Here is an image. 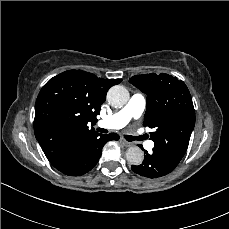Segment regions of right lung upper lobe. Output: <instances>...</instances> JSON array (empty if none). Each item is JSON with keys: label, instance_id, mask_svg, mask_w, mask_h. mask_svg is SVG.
I'll return each mask as SVG.
<instances>
[{"label": "right lung upper lobe", "instance_id": "obj_1", "mask_svg": "<svg viewBox=\"0 0 229 229\" xmlns=\"http://www.w3.org/2000/svg\"><path fill=\"white\" fill-rule=\"evenodd\" d=\"M121 79H102L82 70L51 78L35 104L34 132L45 156L56 167L82 142L98 134L95 124L107 91Z\"/></svg>", "mask_w": 229, "mask_h": 229}]
</instances>
